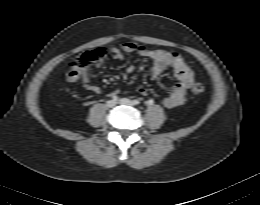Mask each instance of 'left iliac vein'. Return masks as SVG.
Returning <instances> with one entry per match:
<instances>
[{"label":"left iliac vein","mask_w":260,"mask_h":205,"mask_svg":"<svg viewBox=\"0 0 260 205\" xmlns=\"http://www.w3.org/2000/svg\"><path fill=\"white\" fill-rule=\"evenodd\" d=\"M119 103L120 104H123V105H130V106H133V101L130 100V99H127V98H122L119 100Z\"/></svg>","instance_id":"4c4485c4"}]
</instances>
